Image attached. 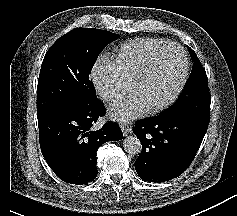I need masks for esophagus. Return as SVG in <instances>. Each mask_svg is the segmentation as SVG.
Masks as SVG:
<instances>
[{"instance_id": "34e87169", "label": "esophagus", "mask_w": 237, "mask_h": 216, "mask_svg": "<svg viewBox=\"0 0 237 216\" xmlns=\"http://www.w3.org/2000/svg\"><path fill=\"white\" fill-rule=\"evenodd\" d=\"M121 129L124 136H127L128 134L132 132V126L129 123L122 124Z\"/></svg>"}]
</instances>
